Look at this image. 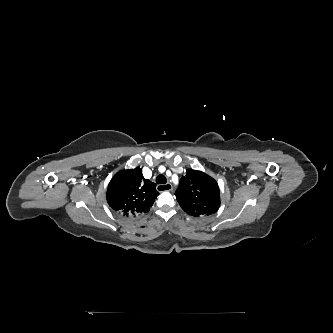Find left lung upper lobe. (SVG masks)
I'll return each instance as SVG.
<instances>
[{
	"label": "left lung upper lobe",
	"instance_id": "1",
	"mask_svg": "<svg viewBox=\"0 0 333 333\" xmlns=\"http://www.w3.org/2000/svg\"><path fill=\"white\" fill-rule=\"evenodd\" d=\"M175 195L181 208L195 217L215 213L220 206L217 182L202 171L188 170Z\"/></svg>",
	"mask_w": 333,
	"mask_h": 333
}]
</instances>
